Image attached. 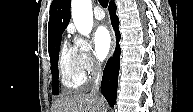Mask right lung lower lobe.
Listing matches in <instances>:
<instances>
[{"label":"right lung lower lobe","mask_w":193,"mask_h":112,"mask_svg":"<svg viewBox=\"0 0 193 112\" xmlns=\"http://www.w3.org/2000/svg\"><path fill=\"white\" fill-rule=\"evenodd\" d=\"M109 13L111 17L112 26L115 30L117 46L113 58H111L103 73V79L101 83V92L111 106H114L116 101V91L118 85V73L121 49L119 47L120 33L118 31L119 19L116 16V5L114 2L109 4Z\"/></svg>","instance_id":"1"}]
</instances>
